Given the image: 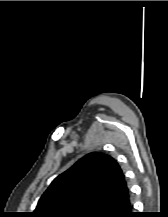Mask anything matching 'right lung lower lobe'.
<instances>
[{
	"mask_svg": "<svg viewBox=\"0 0 168 217\" xmlns=\"http://www.w3.org/2000/svg\"><path fill=\"white\" fill-rule=\"evenodd\" d=\"M136 213L132 212V205L130 200H128L123 205L117 207L110 213L104 215V217H138Z\"/></svg>",
	"mask_w": 168,
	"mask_h": 217,
	"instance_id": "98d812e1",
	"label": "right lung lower lobe"
}]
</instances>
